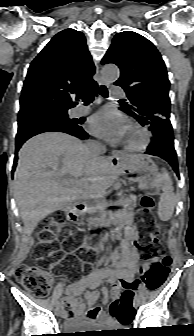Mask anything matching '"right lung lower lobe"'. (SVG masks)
<instances>
[{"label":"right lung lower lobe","instance_id":"obj_1","mask_svg":"<svg viewBox=\"0 0 194 336\" xmlns=\"http://www.w3.org/2000/svg\"><path fill=\"white\" fill-rule=\"evenodd\" d=\"M98 91V85H96L90 92L94 93L97 95ZM84 120H78V123L73 126V127H38V128H31V129H26L23 130L19 133H17L16 136V148H15V159H14V165L12 169V174L15 170L16 164H17V159H18V151L21 148L22 144L31 138L34 135L43 133V132H50V131H57V132H64L68 133L70 135H73L75 137H78L82 140L88 139L89 135L83 130L81 124L83 123Z\"/></svg>","mask_w":194,"mask_h":336}]
</instances>
